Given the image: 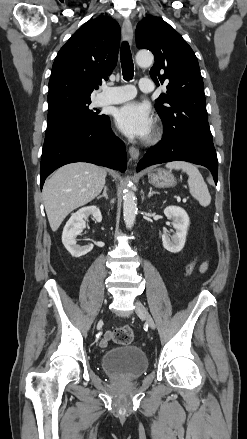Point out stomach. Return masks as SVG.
Wrapping results in <instances>:
<instances>
[{
  "instance_id": "0dacf381",
  "label": "stomach",
  "mask_w": 247,
  "mask_h": 439,
  "mask_svg": "<svg viewBox=\"0 0 247 439\" xmlns=\"http://www.w3.org/2000/svg\"><path fill=\"white\" fill-rule=\"evenodd\" d=\"M148 179L152 185L160 188L172 187L176 184L173 174L160 168L149 171Z\"/></svg>"
}]
</instances>
